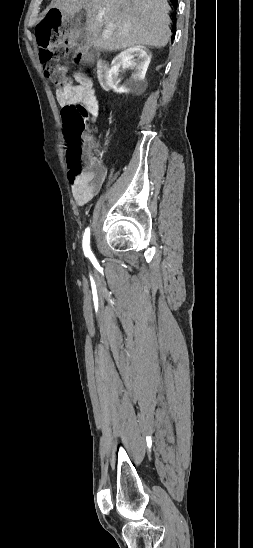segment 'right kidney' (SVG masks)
Wrapping results in <instances>:
<instances>
[{
	"label": "right kidney",
	"mask_w": 253,
	"mask_h": 548,
	"mask_svg": "<svg viewBox=\"0 0 253 548\" xmlns=\"http://www.w3.org/2000/svg\"><path fill=\"white\" fill-rule=\"evenodd\" d=\"M152 54L143 46H134L124 50L112 61L108 81L116 93L143 92L146 88L145 74ZM135 67L131 78L124 84H120L119 72L121 67Z\"/></svg>",
	"instance_id": "right-kidney-1"
}]
</instances>
